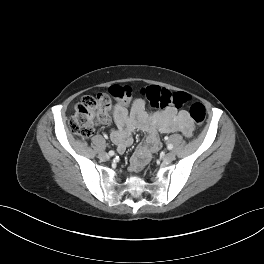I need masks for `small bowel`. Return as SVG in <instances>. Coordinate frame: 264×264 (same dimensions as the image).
<instances>
[{"instance_id":"c3829d8e","label":"small bowel","mask_w":264,"mask_h":264,"mask_svg":"<svg viewBox=\"0 0 264 264\" xmlns=\"http://www.w3.org/2000/svg\"><path fill=\"white\" fill-rule=\"evenodd\" d=\"M128 102L117 103L114 106V119L117 128L111 131V139L119 153H123L133 140L131 134L135 130L148 133L145 141L141 143L131 157V169L136 171L144 167L152 154L161 147L159 134L181 132L190 138L194 131V124L187 111L167 108L161 112L147 113L145 103L136 99L130 112Z\"/></svg>"}]
</instances>
